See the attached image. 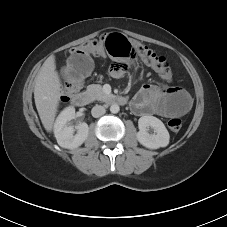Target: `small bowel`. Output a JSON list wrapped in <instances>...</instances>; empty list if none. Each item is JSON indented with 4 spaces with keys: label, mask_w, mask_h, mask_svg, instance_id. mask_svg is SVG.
Here are the masks:
<instances>
[{
    "label": "small bowel",
    "mask_w": 227,
    "mask_h": 227,
    "mask_svg": "<svg viewBox=\"0 0 227 227\" xmlns=\"http://www.w3.org/2000/svg\"><path fill=\"white\" fill-rule=\"evenodd\" d=\"M67 64L60 72L61 80L68 85L80 84L92 71V59L83 52H72ZM127 64L113 63L110 74L113 78L124 77ZM191 106L188 93L179 87L160 88L152 84H144L131 101V107L136 115L157 114L171 117L185 114Z\"/></svg>",
    "instance_id": "small-bowel-1"
}]
</instances>
